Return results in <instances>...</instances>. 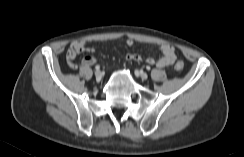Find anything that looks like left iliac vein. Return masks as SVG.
I'll return each mask as SVG.
<instances>
[{"label": "left iliac vein", "mask_w": 244, "mask_h": 157, "mask_svg": "<svg viewBox=\"0 0 244 157\" xmlns=\"http://www.w3.org/2000/svg\"><path fill=\"white\" fill-rule=\"evenodd\" d=\"M136 74L139 75V77L143 80H146L148 78V75L145 72H143L142 70H137Z\"/></svg>", "instance_id": "4c4485c4"}]
</instances>
